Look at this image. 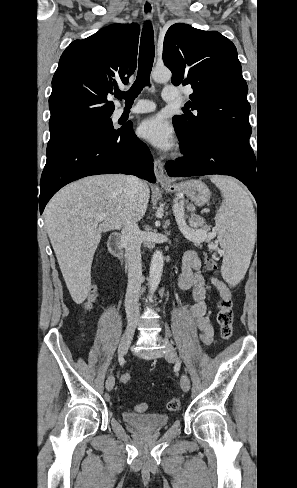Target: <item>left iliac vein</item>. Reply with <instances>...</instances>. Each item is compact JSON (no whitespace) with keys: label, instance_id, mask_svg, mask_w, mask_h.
<instances>
[{"label":"left iliac vein","instance_id":"1","mask_svg":"<svg viewBox=\"0 0 297 488\" xmlns=\"http://www.w3.org/2000/svg\"><path fill=\"white\" fill-rule=\"evenodd\" d=\"M158 340L166 347L165 349V359L169 362L177 361V352L175 348L163 337L158 336ZM181 388L184 392H188L190 389V379L186 374L181 376Z\"/></svg>","mask_w":297,"mask_h":488}]
</instances>
